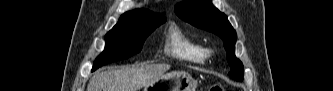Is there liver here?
<instances>
[{
  "instance_id": "6515ba94",
  "label": "liver",
  "mask_w": 333,
  "mask_h": 91,
  "mask_svg": "<svg viewBox=\"0 0 333 91\" xmlns=\"http://www.w3.org/2000/svg\"><path fill=\"white\" fill-rule=\"evenodd\" d=\"M170 69L168 64H139L95 74L89 81L87 91H139L151 84Z\"/></svg>"
}]
</instances>
